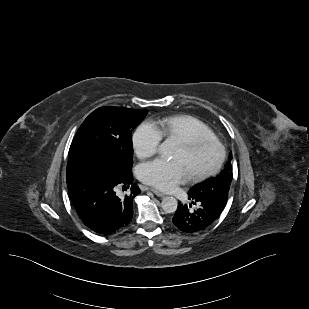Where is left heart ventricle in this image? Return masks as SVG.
Masks as SVG:
<instances>
[{
  "label": "left heart ventricle",
  "mask_w": 309,
  "mask_h": 309,
  "mask_svg": "<svg viewBox=\"0 0 309 309\" xmlns=\"http://www.w3.org/2000/svg\"><path fill=\"white\" fill-rule=\"evenodd\" d=\"M217 156V151L213 146H206L196 152H189L180 144L174 158L181 160L190 175L199 173L210 168Z\"/></svg>",
  "instance_id": "b2bd125f"
}]
</instances>
